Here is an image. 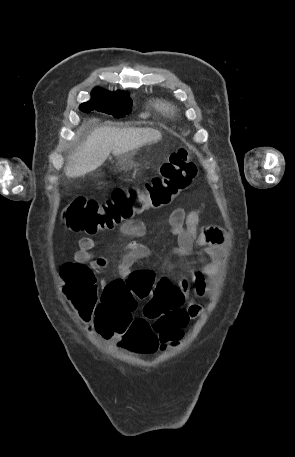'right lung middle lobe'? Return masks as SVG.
<instances>
[{"label": "right lung middle lobe", "mask_w": 295, "mask_h": 457, "mask_svg": "<svg viewBox=\"0 0 295 457\" xmlns=\"http://www.w3.org/2000/svg\"><path fill=\"white\" fill-rule=\"evenodd\" d=\"M132 100L127 92H92L91 100L80 105V110L89 113L92 110L123 117L131 112Z\"/></svg>", "instance_id": "obj_1"}]
</instances>
